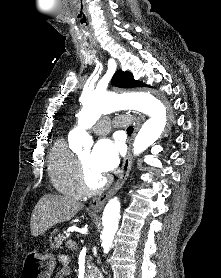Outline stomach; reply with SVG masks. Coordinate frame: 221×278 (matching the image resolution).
Here are the masks:
<instances>
[{
    "instance_id": "0dacf381",
    "label": "stomach",
    "mask_w": 221,
    "mask_h": 278,
    "mask_svg": "<svg viewBox=\"0 0 221 278\" xmlns=\"http://www.w3.org/2000/svg\"><path fill=\"white\" fill-rule=\"evenodd\" d=\"M55 258L51 254H36L32 251L22 264L21 275L23 278H50L55 268Z\"/></svg>"
}]
</instances>
